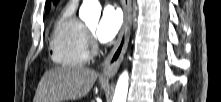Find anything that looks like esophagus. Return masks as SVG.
Instances as JSON below:
<instances>
[{
	"label": "esophagus",
	"instance_id": "1",
	"mask_svg": "<svg viewBox=\"0 0 221 102\" xmlns=\"http://www.w3.org/2000/svg\"><path fill=\"white\" fill-rule=\"evenodd\" d=\"M132 1L131 0H123V6L125 10V19L123 23V27L119 33L118 39L113 46L111 52L108 54V56L105 59L103 70H102V77L105 79L112 78L125 55L128 42H129V36H130V29L132 24Z\"/></svg>",
	"mask_w": 221,
	"mask_h": 102
}]
</instances>
